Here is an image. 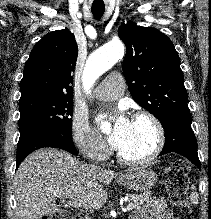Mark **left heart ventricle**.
<instances>
[{
  "label": "left heart ventricle",
  "instance_id": "left-heart-ventricle-1",
  "mask_svg": "<svg viewBox=\"0 0 211 219\" xmlns=\"http://www.w3.org/2000/svg\"><path fill=\"white\" fill-rule=\"evenodd\" d=\"M155 144V131L147 120L132 121L131 132L119 152L129 158L148 154Z\"/></svg>",
  "mask_w": 211,
  "mask_h": 219
}]
</instances>
